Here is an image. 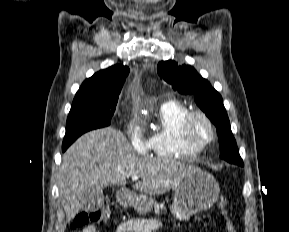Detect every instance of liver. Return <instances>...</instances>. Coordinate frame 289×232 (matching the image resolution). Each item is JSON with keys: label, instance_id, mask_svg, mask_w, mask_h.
<instances>
[{"label": "liver", "instance_id": "obj_1", "mask_svg": "<svg viewBox=\"0 0 289 232\" xmlns=\"http://www.w3.org/2000/svg\"><path fill=\"white\" fill-rule=\"evenodd\" d=\"M193 166L170 159L132 154L131 145L113 127L90 131L64 153L58 173L59 198L71 221L82 209L84 192L111 185L124 186L136 175L134 189L148 195H163L175 188Z\"/></svg>", "mask_w": 289, "mask_h": 232}]
</instances>
